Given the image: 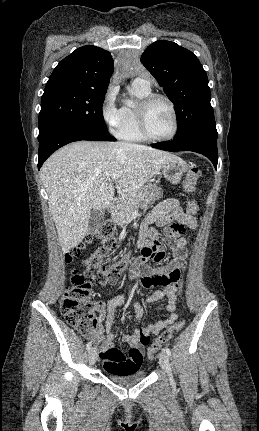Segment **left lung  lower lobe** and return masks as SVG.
Listing matches in <instances>:
<instances>
[{
  "label": "left lung lower lobe",
  "mask_w": 259,
  "mask_h": 431,
  "mask_svg": "<svg viewBox=\"0 0 259 431\" xmlns=\"http://www.w3.org/2000/svg\"><path fill=\"white\" fill-rule=\"evenodd\" d=\"M217 133L194 131L175 137L172 141L166 143L152 144V147L166 151H193L206 156L217 168L218 152H217Z\"/></svg>",
  "instance_id": "0a47b994"
}]
</instances>
